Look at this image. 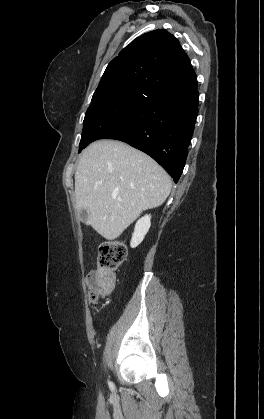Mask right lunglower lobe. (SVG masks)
Instances as JSON below:
<instances>
[{"mask_svg": "<svg viewBox=\"0 0 264 419\" xmlns=\"http://www.w3.org/2000/svg\"><path fill=\"white\" fill-rule=\"evenodd\" d=\"M197 83L158 93L143 101L101 139H116L147 153L178 182L198 114Z\"/></svg>", "mask_w": 264, "mask_h": 419, "instance_id": "right-lung-lower-lobe-1", "label": "right lung lower lobe"}]
</instances>
